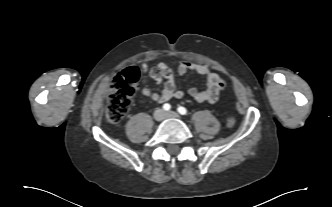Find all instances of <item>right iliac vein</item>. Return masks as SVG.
I'll list each match as a JSON object with an SVG mask.
<instances>
[{
    "label": "right iliac vein",
    "mask_w": 332,
    "mask_h": 207,
    "mask_svg": "<svg viewBox=\"0 0 332 207\" xmlns=\"http://www.w3.org/2000/svg\"><path fill=\"white\" fill-rule=\"evenodd\" d=\"M165 117V113L162 109H157L154 113V118L157 120V121H162Z\"/></svg>",
    "instance_id": "obj_1"
}]
</instances>
